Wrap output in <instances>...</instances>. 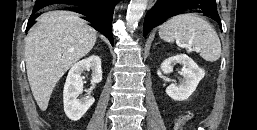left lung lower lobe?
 <instances>
[{"label":"left lung lower lobe","instance_id":"obj_1","mask_svg":"<svg viewBox=\"0 0 257 130\" xmlns=\"http://www.w3.org/2000/svg\"><path fill=\"white\" fill-rule=\"evenodd\" d=\"M188 10L203 13L221 25L215 0H159L145 16L143 26L144 36L152 28L162 24L167 19Z\"/></svg>","mask_w":257,"mask_h":130}]
</instances>
